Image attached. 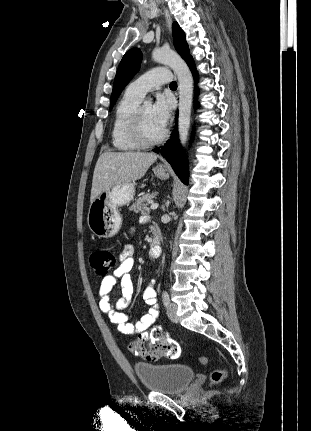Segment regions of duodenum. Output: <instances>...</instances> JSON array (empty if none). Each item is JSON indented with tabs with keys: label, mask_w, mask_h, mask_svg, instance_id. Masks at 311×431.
<instances>
[{
	"label": "duodenum",
	"mask_w": 311,
	"mask_h": 431,
	"mask_svg": "<svg viewBox=\"0 0 311 431\" xmlns=\"http://www.w3.org/2000/svg\"><path fill=\"white\" fill-rule=\"evenodd\" d=\"M149 253L152 258H157L161 253V242L157 232L153 235Z\"/></svg>",
	"instance_id": "1"
}]
</instances>
